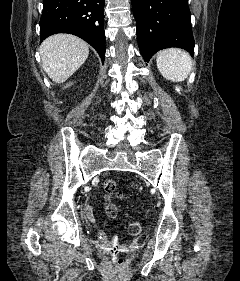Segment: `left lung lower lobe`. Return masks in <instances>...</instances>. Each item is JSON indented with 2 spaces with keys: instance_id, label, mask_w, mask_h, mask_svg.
<instances>
[{
  "instance_id": "0a47b994",
  "label": "left lung lower lobe",
  "mask_w": 240,
  "mask_h": 281,
  "mask_svg": "<svg viewBox=\"0 0 240 281\" xmlns=\"http://www.w3.org/2000/svg\"><path fill=\"white\" fill-rule=\"evenodd\" d=\"M139 49L145 61L158 51L179 47L194 54L187 0H131Z\"/></svg>"
}]
</instances>
